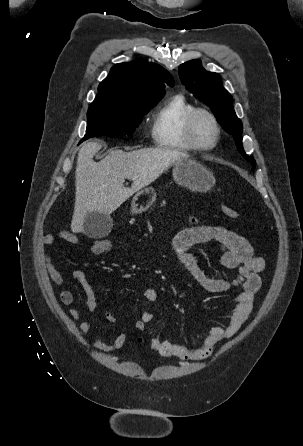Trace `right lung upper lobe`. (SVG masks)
Here are the masks:
<instances>
[{
    "instance_id": "right-lung-upper-lobe-1",
    "label": "right lung upper lobe",
    "mask_w": 303,
    "mask_h": 446,
    "mask_svg": "<svg viewBox=\"0 0 303 446\" xmlns=\"http://www.w3.org/2000/svg\"><path fill=\"white\" fill-rule=\"evenodd\" d=\"M173 86L171 74L158 64L134 61L115 64L98 87L89 108H145L157 105L165 86Z\"/></svg>"
}]
</instances>
